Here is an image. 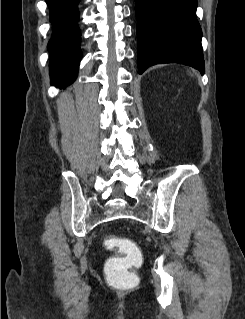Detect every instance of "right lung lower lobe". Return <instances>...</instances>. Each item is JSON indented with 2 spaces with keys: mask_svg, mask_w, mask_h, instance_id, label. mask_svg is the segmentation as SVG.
<instances>
[{
  "mask_svg": "<svg viewBox=\"0 0 245 319\" xmlns=\"http://www.w3.org/2000/svg\"><path fill=\"white\" fill-rule=\"evenodd\" d=\"M45 1L53 26L52 38L48 43L51 84L64 88L75 80L82 57L79 47L81 34L77 24V5L80 0Z\"/></svg>",
  "mask_w": 245,
  "mask_h": 319,
  "instance_id": "obj_1",
  "label": "right lung lower lobe"
}]
</instances>
